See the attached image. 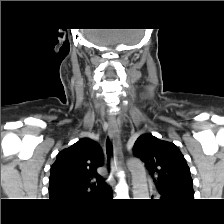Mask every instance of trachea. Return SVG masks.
<instances>
[{"label":"trachea","mask_w":224,"mask_h":224,"mask_svg":"<svg viewBox=\"0 0 224 224\" xmlns=\"http://www.w3.org/2000/svg\"><path fill=\"white\" fill-rule=\"evenodd\" d=\"M106 152H107L108 162L110 163V158L113 154V150H112V143L109 139H107L106 141Z\"/></svg>","instance_id":"trachea-1"}]
</instances>
